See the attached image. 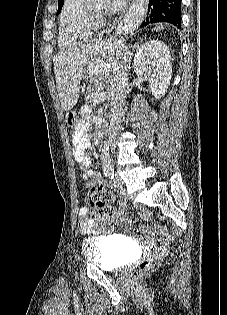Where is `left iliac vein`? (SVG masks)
<instances>
[{"label":"left iliac vein","instance_id":"4c4485c4","mask_svg":"<svg viewBox=\"0 0 227 315\" xmlns=\"http://www.w3.org/2000/svg\"><path fill=\"white\" fill-rule=\"evenodd\" d=\"M114 184H115V186H117V187H121L122 184H123V182H122L121 179L117 176V177L115 178Z\"/></svg>","mask_w":227,"mask_h":315}]
</instances>
